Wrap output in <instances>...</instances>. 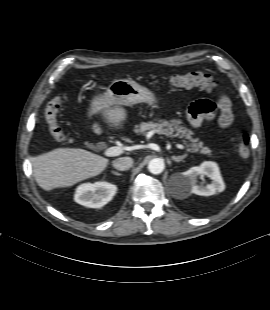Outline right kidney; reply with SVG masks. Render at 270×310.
<instances>
[{"label": "right kidney", "instance_id": "right-kidney-1", "mask_svg": "<svg viewBox=\"0 0 270 310\" xmlns=\"http://www.w3.org/2000/svg\"><path fill=\"white\" fill-rule=\"evenodd\" d=\"M117 187L108 182L84 183L77 187L75 202L89 208H101L112 200Z\"/></svg>", "mask_w": 270, "mask_h": 310}]
</instances>
